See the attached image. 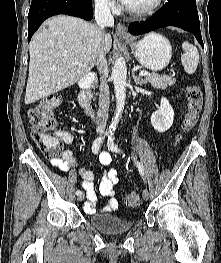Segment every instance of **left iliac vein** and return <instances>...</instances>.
I'll list each match as a JSON object with an SVG mask.
<instances>
[{"label": "left iliac vein", "instance_id": "4c4485c4", "mask_svg": "<svg viewBox=\"0 0 221 263\" xmlns=\"http://www.w3.org/2000/svg\"><path fill=\"white\" fill-rule=\"evenodd\" d=\"M143 199L148 200L149 198V191L147 188H145L142 192Z\"/></svg>", "mask_w": 221, "mask_h": 263}]
</instances>
